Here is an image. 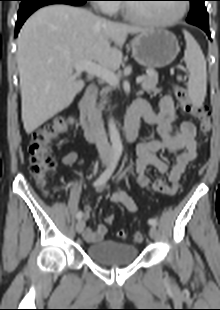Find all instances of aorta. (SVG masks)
<instances>
[{
    "mask_svg": "<svg viewBox=\"0 0 220 310\" xmlns=\"http://www.w3.org/2000/svg\"><path fill=\"white\" fill-rule=\"evenodd\" d=\"M108 127H109V136H110L112 148L116 150H122V142H121L120 134H119V131L116 127V123L113 118L109 120Z\"/></svg>",
    "mask_w": 220,
    "mask_h": 310,
    "instance_id": "1",
    "label": "aorta"
}]
</instances>
